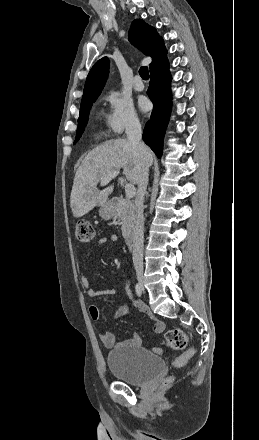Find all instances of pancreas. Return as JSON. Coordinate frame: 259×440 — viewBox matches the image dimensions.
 <instances>
[{
	"label": "pancreas",
	"mask_w": 259,
	"mask_h": 440,
	"mask_svg": "<svg viewBox=\"0 0 259 440\" xmlns=\"http://www.w3.org/2000/svg\"><path fill=\"white\" fill-rule=\"evenodd\" d=\"M115 216L122 221V235L123 237H127L133 229L135 220V207L133 201L120 198L115 207Z\"/></svg>",
	"instance_id": "pancreas-1"
}]
</instances>
